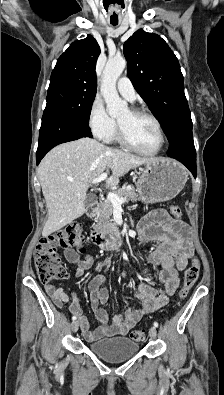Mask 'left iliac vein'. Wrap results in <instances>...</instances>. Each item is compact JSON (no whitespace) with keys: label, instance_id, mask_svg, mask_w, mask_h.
<instances>
[{"label":"left iliac vein","instance_id":"4c4485c4","mask_svg":"<svg viewBox=\"0 0 224 395\" xmlns=\"http://www.w3.org/2000/svg\"><path fill=\"white\" fill-rule=\"evenodd\" d=\"M149 336H150L152 339H155V338H156V336H157V330H156L155 327H151V328L149 329Z\"/></svg>","mask_w":224,"mask_h":395}]
</instances>
